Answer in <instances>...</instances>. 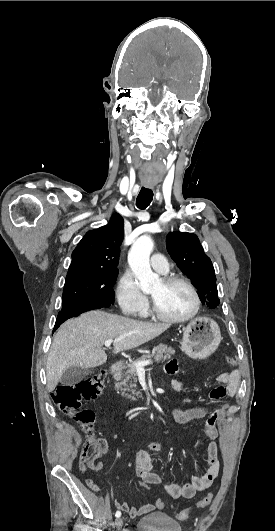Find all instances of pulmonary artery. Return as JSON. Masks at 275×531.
Returning <instances> with one entry per match:
<instances>
[{
    "mask_svg": "<svg viewBox=\"0 0 275 531\" xmlns=\"http://www.w3.org/2000/svg\"><path fill=\"white\" fill-rule=\"evenodd\" d=\"M165 256L163 254H154L151 256L150 261L152 265L154 266L153 272L157 276H165L168 274L169 269L166 265H163L165 263Z\"/></svg>",
    "mask_w": 275,
    "mask_h": 531,
    "instance_id": "pulmonary-artery-1",
    "label": "pulmonary artery"
}]
</instances>
